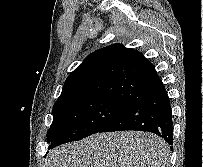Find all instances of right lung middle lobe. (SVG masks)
I'll return each instance as SVG.
<instances>
[{
    "label": "right lung middle lobe",
    "instance_id": "right-lung-middle-lobe-1",
    "mask_svg": "<svg viewBox=\"0 0 203 167\" xmlns=\"http://www.w3.org/2000/svg\"><path fill=\"white\" fill-rule=\"evenodd\" d=\"M129 105L108 98H80L52 110L47 142L67 143L100 132Z\"/></svg>",
    "mask_w": 203,
    "mask_h": 167
}]
</instances>
